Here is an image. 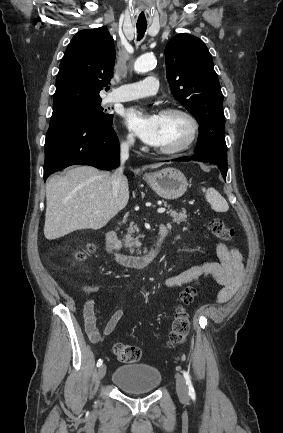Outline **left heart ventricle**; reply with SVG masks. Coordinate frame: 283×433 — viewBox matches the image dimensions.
<instances>
[{
  "instance_id": "b2bd125f",
  "label": "left heart ventricle",
  "mask_w": 283,
  "mask_h": 433,
  "mask_svg": "<svg viewBox=\"0 0 283 433\" xmlns=\"http://www.w3.org/2000/svg\"><path fill=\"white\" fill-rule=\"evenodd\" d=\"M162 143L159 151L179 148L189 137L191 125L180 114H161Z\"/></svg>"
}]
</instances>
